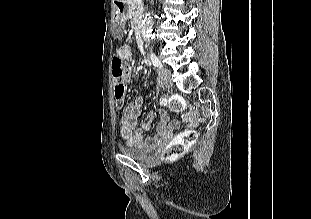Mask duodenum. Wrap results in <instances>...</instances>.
Masks as SVG:
<instances>
[{
  "instance_id": "1",
  "label": "duodenum",
  "mask_w": 311,
  "mask_h": 219,
  "mask_svg": "<svg viewBox=\"0 0 311 219\" xmlns=\"http://www.w3.org/2000/svg\"><path fill=\"white\" fill-rule=\"evenodd\" d=\"M117 11H118L119 14L125 13V12L127 11L126 5L123 4V3H120V4L118 5V7H117ZM149 28L152 29L151 26H149ZM141 43H143V39H141Z\"/></svg>"
}]
</instances>
